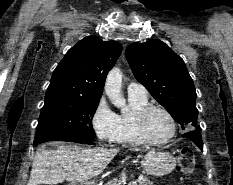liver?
Wrapping results in <instances>:
<instances>
[{
    "label": "liver",
    "instance_id": "6515ba94",
    "mask_svg": "<svg viewBox=\"0 0 233 185\" xmlns=\"http://www.w3.org/2000/svg\"><path fill=\"white\" fill-rule=\"evenodd\" d=\"M118 152L119 149L104 147L57 145L56 150H45L40 146L35 153L27 185H53L64 180L71 182V185L85 182L101 174ZM70 165L80 168H65Z\"/></svg>",
    "mask_w": 233,
    "mask_h": 185
}]
</instances>
